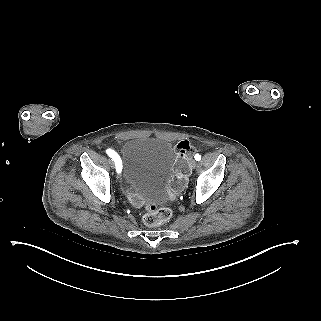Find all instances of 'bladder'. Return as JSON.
I'll use <instances>...</instances> for the list:
<instances>
[{
    "mask_svg": "<svg viewBox=\"0 0 321 321\" xmlns=\"http://www.w3.org/2000/svg\"><path fill=\"white\" fill-rule=\"evenodd\" d=\"M177 153L173 145L151 137L124 142L119 180L126 191L145 204L165 201Z\"/></svg>",
    "mask_w": 321,
    "mask_h": 321,
    "instance_id": "bladder-1",
    "label": "bladder"
}]
</instances>
